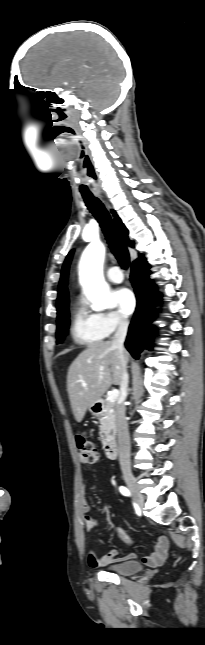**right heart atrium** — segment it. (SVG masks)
Wrapping results in <instances>:
<instances>
[{"label":"right heart atrium","mask_w":205,"mask_h":645,"mask_svg":"<svg viewBox=\"0 0 205 645\" xmlns=\"http://www.w3.org/2000/svg\"><path fill=\"white\" fill-rule=\"evenodd\" d=\"M98 321L106 336L128 326V320L116 311H107L98 314Z\"/></svg>","instance_id":"obj_1"}]
</instances>
